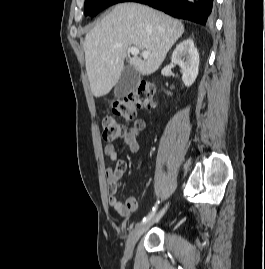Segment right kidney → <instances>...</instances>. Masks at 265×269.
Instances as JSON below:
<instances>
[{
	"label": "right kidney",
	"mask_w": 265,
	"mask_h": 269,
	"mask_svg": "<svg viewBox=\"0 0 265 269\" xmlns=\"http://www.w3.org/2000/svg\"><path fill=\"white\" fill-rule=\"evenodd\" d=\"M171 61L180 66L185 86H191L198 75L199 53L192 39L182 41L173 51Z\"/></svg>",
	"instance_id": "ca27d5eb"
}]
</instances>
